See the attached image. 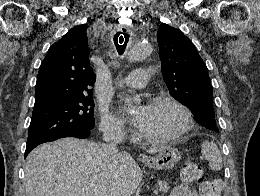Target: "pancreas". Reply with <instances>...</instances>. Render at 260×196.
I'll return each mask as SVG.
<instances>
[{"label": "pancreas", "instance_id": "1", "mask_svg": "<svg viewBox=\"0 0 260 196\" xmlns=\"http://www.w3.org/2000/svg\"><path fill=\"white\" fill-rule=\"evenodd\" d=\"M158 188L161 192V196L167 194L168 190H170V182H164V180H158Z\"/></svg>", "mask_w": 260, "mask_h": 196}]
</instances>
